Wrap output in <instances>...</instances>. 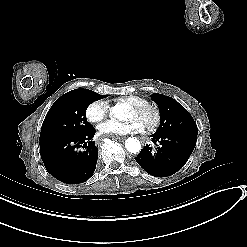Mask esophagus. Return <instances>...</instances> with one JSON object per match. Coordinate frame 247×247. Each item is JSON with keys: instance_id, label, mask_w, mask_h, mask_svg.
<instances>
[{"instance_id": "obj_1", "label": "esophagus", "mask_w": 247, "mask_h": 247, "mask_svg": "<svg viewBox=\"0 0 247 247\" xmlns=\"http://www.w3.org/2000/svg\"><path fill=\"white\" fill-rule=\"evenodd\" d=\"M138 141H141V143H143V145H145V140H141L140 136H137Z\"/></svg>"}]
</instances>
